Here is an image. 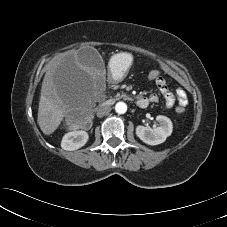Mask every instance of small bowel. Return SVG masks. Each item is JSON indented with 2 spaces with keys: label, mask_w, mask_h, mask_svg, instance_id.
<instances>
[{
  "label": "small bowel",
  "mask_w": 227,
  "mask_h": 227,
  "mask_svg": "<svg viewBox=\"0 0 227 227\" xmlns=\"http://www.w3.org/2000/svg\"><path fill=\"white\" fill-rule=\"evenodd\" d=\"M155 83L165 99V106L167 108H172L176 101L178 102V107L184 108L187 105L188 100L186 93L183 89H178L176 92L177 97H175L174 94L168 88L166 80L163 77L161 76L158 77ZM147 99L151 103H157L159 101L158 96L154 93L151 94Z\"/></svg>",
  "instance_id": "1"
}]
</instances>
